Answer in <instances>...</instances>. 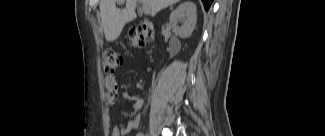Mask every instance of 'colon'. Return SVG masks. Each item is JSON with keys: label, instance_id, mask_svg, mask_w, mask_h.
Listing matches in <instances>:
<instances>
[{"label": "colon", "instance_id": "5ec220e1", "mask_svg": "<svg viewBox=\"0 0 325 136\" xmlns=\"http://www.w3.org/2000/svg\"><path fill=\"white\" fill-rule=\"evenodd\" d=\"M150 34L151 28L140 26L131 29L129 37L134 44L141 46L147 42ZM122 61L123 59L117 51L107 49L103 55V69L106 73H113L122 64Z\"/></svg>", "mask_w": 325, "mask_h": 136}]
</instances>
